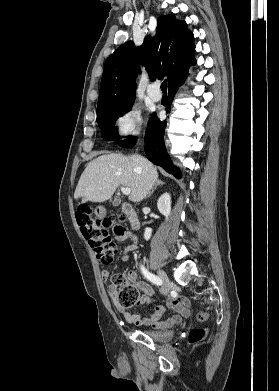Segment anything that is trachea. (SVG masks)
<instances>
[{
    "mask_svg": "<svg viewBox=\"0 0 279 391\" xmlns=\"http://www.w3.org/2000/svg\"><path fill=\"white\" fill-rule=\"evenodd\" d=\"M166 88H167V82H166V80L161 84V90L163 91V92H166Z\"/></svg>",
    "mask_w": 279,
    "mask_h": 391,
    "instance_id": "trachea-1",
    "label": "trachea"
}]
</instances>
